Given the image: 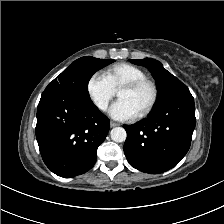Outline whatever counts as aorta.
<instances>
[{"instance_id":"1","label":"aorta","mask_w":224,"mask_h":224,"mask_svg":"<svg viewBox=\"0 0 224 224\" xmlns=\"http://www.w3.org/2000/svg\"><path fill=\"white\" fill-rule=\"evenodd\" d=\"M110 136H111V139L114 142L121 143V142H124L126 140L127 133H126L124 128H122V127H115V128H113L111 130Z\"/></svg>"}]
</instances>
